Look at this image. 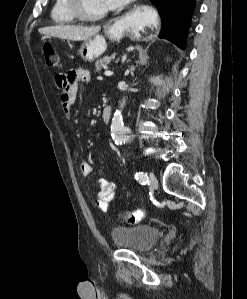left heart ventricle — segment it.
I'll list each match as a JSON object with an SVG mask.
<instances>
[{
    "mask_svg": "<svg viewBox=\"0 0 247 299\" xmlns=\"http://www.w3.org/2000/svg\"><path fill=\"white\" fill-rule=\"evenodd\" d=\"M84 6L89 13H98L107 9L104 0H83Z\"/></svg>",
    "mask_w": 247,
    "mask_h": 299,
    "instance_id": "1",
    "label": "left heart ventricle"
}]
</instances>
